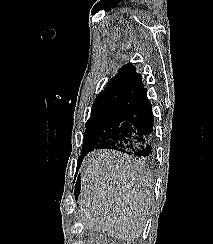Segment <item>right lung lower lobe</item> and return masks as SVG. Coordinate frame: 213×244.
Here are the masks:
<instances>
[{
    "label": "right lung lower lobe",
    "instance_id": "obj_1",
    "mask_svg": "<svg viewBox=\"0 0 213 244\" xmlns=\"http://www.w3.org/2000/svg\"><path fill=\"white\" fill-rule=\"evenodd\" d=\"M153 121L152 106L147 97V89L144 88L136 97L131 116L121 124L118 132L110 139L99 143L94 149H113L135 157H148L152 152ZM88 152L79 157V165ZM78 193L77 184L75 195Z\"/></svg>",
    "mask_w": 213,
    "mask_h": 244
}]
</instances>
